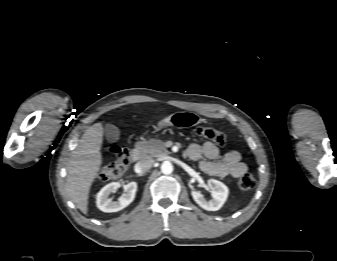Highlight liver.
I'll use <instances>...</instances> for the list:
<instances>
[{"label": "liver", "mask_w": 337, "mask_h": 261, "mask_svg": "<svg viewBox=\"0 0 337 261\" xmlns=\"http://www.w3.org/2000/svg\"><path fill=\"white\" fill-rule=\"evenodd\" d=\"M102 142V123H95L84 132L68 163L67 194L84 214L88 212L91 185L102 165Z\"/></svg>", "instance_id": "obj_1"}]
</instances>
